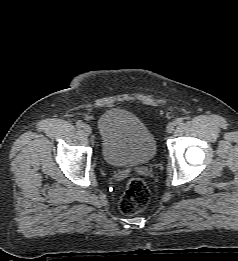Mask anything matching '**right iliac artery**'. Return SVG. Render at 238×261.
Masks as SVG:
<instances>
[{
    "instance_id": "right-iliac-artery-1",
    "label": "right iliac artery",
    "mask_w": 238,
    "mask_h": 261,
    "mask_svg": "<svg viewBox=\"0 0 238 261\" xmlns=\"http://www.w3.org/2000/svg\"><path fill=\"white\" fill-rule=\"evenodd\" d=\"M76 126H77L78 128H82V127L84 126V123H83L82 121L78 120V121L76 122Z\"/></svg>"
}]
</instances>
